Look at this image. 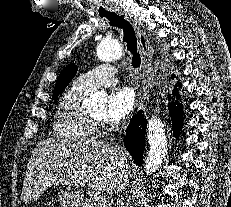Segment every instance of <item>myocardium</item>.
<instances>
[{
  "mask_svg": "<svg viewBox=\"0 0 231 207\" xmlns=\"http://www.w3.org/2000/svg\"><path fill=\"white\" fill-rule=\"evenodd\" d=\"M86 116L91 121V123L94 124L96 127H99L100 125H102L101 119L93 118L92 116H89L87 114Z\"/></svg>",
  "mask_w": 231,
  "mask_h": 207,
  "instance_id": "obj_1",
  "label": "myocardium"
}]
</instances>
